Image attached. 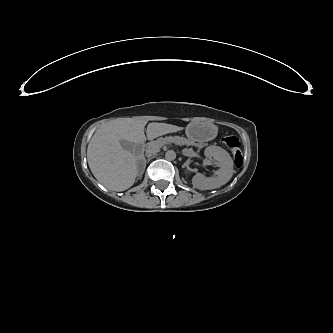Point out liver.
Instances as JSON below:
<instances>
[{
	"label": "liver",
	"mask_w": 333,
	"mask_h": 333,
	"mask_svg": "<svg viewBox=\"0 0 333 333\" xmlns=\"http://www.w3.org/2000/svg\"><path fill=\"white\" fill-rule=\"evenodd\" d=\"M145 139L144 134L133 137H120L115 134L93 137L87 148V159L94 177L114 191H124L131 187L137 176V160L120 142L142 143Z\"/></svg>",
	"instance_id": "1"
}]
</instances>
